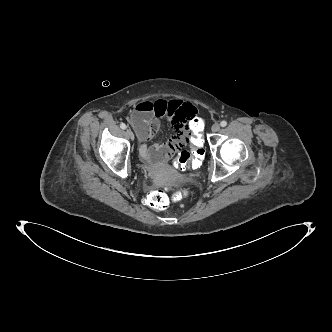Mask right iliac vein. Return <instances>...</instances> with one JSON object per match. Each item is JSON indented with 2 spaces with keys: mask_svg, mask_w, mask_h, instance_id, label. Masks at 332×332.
Returning a JSON list of instances; mask_svg holds the SVG:
<instances>
[{
  "mask_svg": "<svg viewBox=\"0 0 332 332\" xmlns=\"http://www.w3.org/2000/svg\"><path fill=\"white\" fill-rule=\"evenodd\" d=\"M126 134L131 140H134V134L130 128L126 130Z\"/></svg>",
  "mask_w": 332,
  "mask_h": 332,
  "instance_id": "obj_1",
  "label": "right iliac vein"
}]
</instances>
